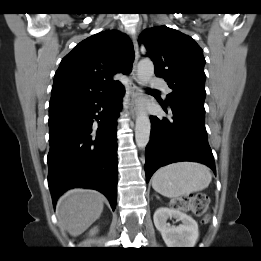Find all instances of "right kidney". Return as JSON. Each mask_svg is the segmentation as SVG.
Segmentation results:
<instances>
[{"mask_svg": "<svg viewBox=\"0 0 261 261\" xmlns=\"http://www.w3.org/2000/svg\"><path fill=\"white\" fill-rule=\"evenodd\" d=\"M95 232H96V230L94 229L90 233L93 235V234H95Z\"/></svg>", "mask_w": 261, "mask_h": 261, "instance_id": "right-kidney-1", "label": "right kidney"}]
</instances>
